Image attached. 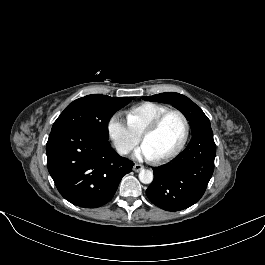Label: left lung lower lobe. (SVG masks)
<instances>
[{
	"instance_id": "obj_1",
	"label": "left lung lower lobe",
	"mask_w": 265,
	"mask_h": 265,
	"mask_svg": "<svg viewBox=\"0 0 265 265\" xmlns=\"http://www.w3.org/2000/svg\"><path fill=\"white\" fill-rule=\"evenodd\" d=\"M216 156L211 126L192 133L186 149L174 160L154 167L146 190L149 200L166 211H180L200 200L214 171Z\"/></svg>"
}]
</instances>
